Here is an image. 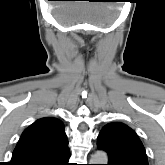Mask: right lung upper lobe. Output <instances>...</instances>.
Returning <instances> with one entry per match:
<instances>
[{
	"label": "right lung upper lobe",
	"instance_id": "1",
	"mask_svg": "<svg viewBox=\"0 0 165 165\" xmlns=\"http://www.w3.org/2000/svg\"><path fill=\"white\" fill-rule=\"evenodd\" d=\"M67 141L63 123L52 117L35 121L24 130L12 154L10 165H35Z\"/></svg>",
	"mask_w": 165,
	"mask_h": 165
}]
</instances>
